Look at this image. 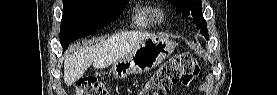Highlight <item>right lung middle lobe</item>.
<instances>
[{"label": "right lung middle lobe", "mask_w": 277, "mask_h": 95, "mask_svg": "<svg viewBox=\"0 0 277 95\" xmlns=\"http://www.w3.org/2000/svg\"><path fill=\"white\" fill-rule=\"evenodd\" d=\"M127 2L128 0H63L60 29L63 51L69 43L114 21Z\"/></svg>", "instance_id": "dd1d6c3e"}]
</instances>
